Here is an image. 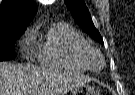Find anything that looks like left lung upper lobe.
Returning <instances> with one entry per match:
<instances>
[{
    "label": "left lung upper lobe",
    "mask_w": 135,
    "mask_h": 95,
    "mask_svg": "<svg viewBox=\"0 0 135 95\" xmlns=\"http://www.w3.org/2000/svg\"><path fill=\"white\" fill-rule=\"evenodd\" d=\"M65 4L69 8L76 23L92 38L103 44L102 37L95 28L90 13L83 0H65Z\"/></svg>",
    "instance_id": "left-lung-upper-lobe-1"
}]
</instances>
